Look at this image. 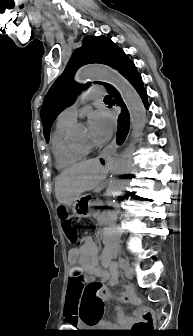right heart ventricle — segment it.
Wrapping results in <instances>:
<instances>
[{
	"mask_svg": "<svg viewBox=\"0 0 193 336\" xmlns=\"http://www.w3.org/2000/svg\"><path fill=\"white\" fill-rule=\"evenodd\" d=\"M72 124L56 125L52 136V149L58 168L72 166L82 161L89 152V147L68 138Z\"/></svg>",
	"mask_w": 193,
	"mask_h": 336,
	"instance_id": "right-heart-ventricle-1",
	"label": "right heart ventricle"
}]
</instances>
